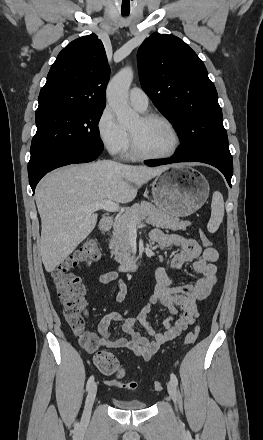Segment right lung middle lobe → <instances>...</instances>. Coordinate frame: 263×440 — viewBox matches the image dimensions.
Here are the masks:
<instances>
[{"label": "right lung middle lobe", "instance_id": "right-lung-middle-lobe-1", "mask_svg": "<svg viewBox=\"0 0 263 440\" xmlns=\"http://www.w3.org/2000/svg\"><path fill=\"white\" fill-rule=\"evenodd\" d=\"M104 107L48 108L36 111L28 174L61 152L76 158L77 149L102 144L98 122Z\"/></svg>", "mask_w": 263, "mask_h": 440}]
</instances>
